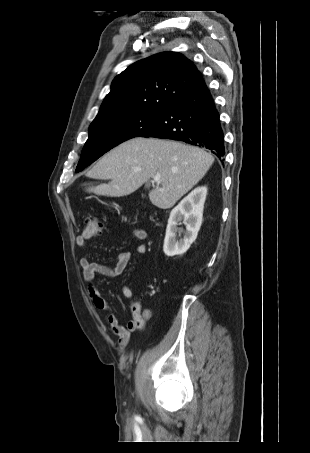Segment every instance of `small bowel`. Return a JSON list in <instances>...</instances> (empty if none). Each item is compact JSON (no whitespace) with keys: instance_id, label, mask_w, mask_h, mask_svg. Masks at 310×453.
Listing matches in <instances>:
<instances>
[{"instance_id":"1","label":"small bowel","mask_w":310,"mask_h":453,"mask_svg":"<svg viewBox=\"0 0 310 453\" xmlns=\"http://www.w3.org/2000/svg\"><path fill=\"white\" fill-rule=\"evenodd\" d=\"M132 234L140 241L147 239V232L144 229L134 228ZM89 239L90 238L85 237L82 233L76 237V245L80 248H84L87 246ZM136 252L139 255L145 254L147 252V245L144 243L139 244L136 248ZM130 258L131 254L129 252H121L117 255L115 264L112 267L94 262L87 257L80 259L82 277L87 285L89 298L98 310L109 311L110 307L95 285V276L97 274L107 277L120 276L126 269ZM121 291L126 299L131 300L133 298V292L129 286L123 285ZM130 310L132 317L127 322L126 326L120 324L115 314L109 313L107 315V322L112 332L118 337L120 349H124L129 343L131 332L140 330L145 326L149 316L148 312L142 309L139 302H133Z\"/></svg>"}]
</instances>
